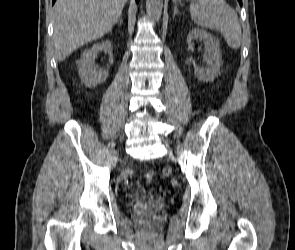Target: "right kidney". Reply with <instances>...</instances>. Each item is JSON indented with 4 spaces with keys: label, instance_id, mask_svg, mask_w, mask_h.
<instances>
[{
    "label": "right kidney",
    "instance_id": "1",
    "mask_svg": "<svg viewBox=\"0 0 295 250\" xmlns=\"http://www.w3.org/2000/svg\"><path fill=\"white\" fill-rule=\"evenodd\" d=\"M103 51L109 55V61L113 62L112 45L109 41H102L93 45L90 49L83 52L78 62V72L81 81L86 87H95L106 80L108 72L102 69L96 70L95 57Z\"/></svg>",
    "mask_w": 295,
    "mask_h": 250
}]
</instances>
